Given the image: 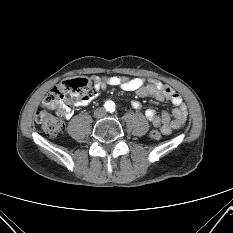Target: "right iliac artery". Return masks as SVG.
I'll return each mask as SVG.
<instances>
[{
    "label": "right iliac artery",
    "mask_w": 233,
    "mask_h": 233,
    "mask_svg": "<svg viewBox=\"0 0 233 233\" xmlns=\"http://www.w3.org/2000/svg\"><path fill=\"white\" fill-rule=\"evenodd\" d=\"M104 106H105V108H106V109H108V107H109V103H108V102H107V103H105V105H104Z\"/></svg>",
    "instance_id": "obj_1"
}]
</instances>
